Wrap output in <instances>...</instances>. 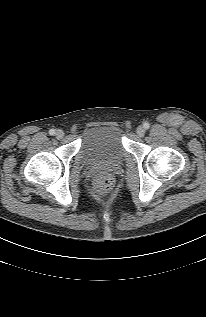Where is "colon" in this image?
I'll use <instances>...</instances> for the list:
<instances>
[{"label": "colon", "mask_w": 206, "mask_h": 317, "mask_svg": "<svg viewBox=\"0 0 206 317\" xmlns=\"http://www.w3.org/2000/svg\"><path fill=\"white\" fill-rule=\"evenodd\" d=\"M113 179L110 176H100L95 180L94 190L96 194L105 196L113 189Z\"/></svg>", "instance_id": "obj_1"}]
</instances>
